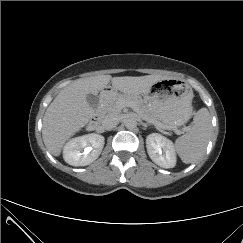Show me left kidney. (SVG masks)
I'll return each mask as SVG.
<instances>
[{
	"label": "left kidney",
	"mask_w": 243,
	"mask_h": 243,
	"mask_svg": "<svg viewBox=\"0 0 243 243\" xmlns=\"http://www.w3.org/2000/svg\"><path fill=\"white\" fill-rule=\"evenodd\" d=\"M146 147L149 157L158 166L166 169L175 167L176 153L172 141L161 134L152 133L146 138Z\"/></svg>",
	"instance_id": "1"
}]
</instances>
